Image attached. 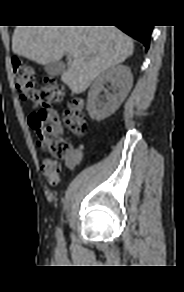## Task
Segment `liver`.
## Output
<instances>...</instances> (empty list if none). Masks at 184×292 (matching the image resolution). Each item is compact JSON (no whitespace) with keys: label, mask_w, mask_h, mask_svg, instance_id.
Wrapping results in <instances>:
<instances>
[{"label":"liver","mask_w":184,"mask_h":292,"mask_svg":"<svg viewBox=\"0 0 184 292\" xmlns=\"http://www.w3.org/2000/svg\"><path fill=\"white\" fill-rule=\"evenodd\" d=\"M12 51L40 65L72 54L61 80L80 94L101 72L130 57L134 44L115 26H17Z\"/></svg>","instance_id":"liver-1"}]
</instances>
